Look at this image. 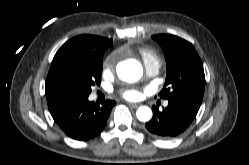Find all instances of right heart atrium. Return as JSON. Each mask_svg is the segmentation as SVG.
I'll return each mask as SVG.
<instances>
[{
  "label": "right heart atrium",
  "mask_w": 249,
  "mask_h": 165,
  "mask_svg": "<svg viewBox=\"0 0 249 165\" xmlns=\"http://www.w3.org/2000/svg\"><path fill=\"white\" fill-rule=\"evenodd\" d=\"M114 55H112L111 57L108 58V60L104 63V69L109 68L111 61L113 60Z\"/></svg>",
  "instance_id": "d8ad5b80"
}]
</instances>
